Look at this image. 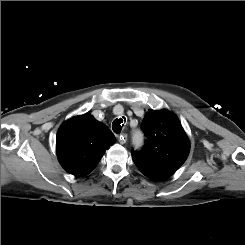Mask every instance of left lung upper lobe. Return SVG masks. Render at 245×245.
<instances>
[{
	"label": "left lung upper lobe",
	"mask_w": 245,
	"mask_h": 245,
	"mask_svg": "<svg viewBox=\"0 0 245 245\" xmlns=\"http://www.w3.org/2000/svg\"><path fill=\"white\" fill-rule=\"evenodd\" d=\"M142 129L147 138L141 151L132 152L138 169L152 180L172 176L186 161L189 139L178 117L167 110L146 113Z\"/></svg>",
	"instance_id": "5c2ea615"
}]
</instances>
